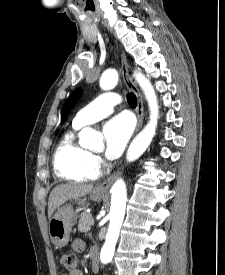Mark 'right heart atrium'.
Here are the masks:
<instances>
[{
    "instance_id": "1",
    "label": "right heart atrium",
    "mask_w": 225,
    "mask_h": 275,
    "mask_svg": "<svg viewBox=\"0 0 225 275\" xmlns=\"http://www.w3.org/2000/svg\"><path fill=\"white\" fill-rule=\"evenodd\" d=\"M96 163H100V159L98 157L95 158Z\"/></svg>"
}]
</instances>
